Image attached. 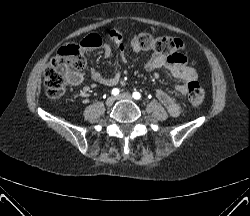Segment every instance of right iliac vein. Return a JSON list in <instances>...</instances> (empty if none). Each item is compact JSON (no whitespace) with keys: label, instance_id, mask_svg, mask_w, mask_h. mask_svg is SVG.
I'll list each match as a JSON object with an SVG mask.
<instances>
[{"label":"right iliac vein","instance_id":"63e3f726","mask_svg":"<svg viewBox=\"0 0 250 216\" xmlns=\"http://www.w3.org/2000/svg\"><path fill=\"white\" fill-rule=\"evenodd\" d=\"M114 102H115V98L113 96H110L106 100V105L110 107L114 104Z\"/></svg>","mask_w":250,"mask_h":216}]
</instances>
